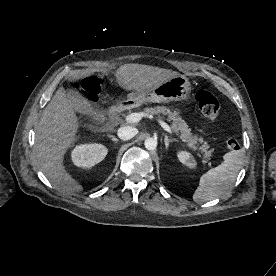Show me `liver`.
Instances as JSON below:
<instances>
[{"instance_id":"liver-1","label":"liver","mask_w":276,"mask_h":276,"mask_svg":"<svg viewBox=\"0 0 276 276\" xmlns=\"http://www.w3.org/2000/svg\"><path fill=\"white\" fill-rule=\"evenodd\" d=\"M89 75L91 73L75 75L70 81ZM177 75L179 73L175 71L142 64H125L115 73L122 89L136 92L148 90ZM80 123L67 91L60 87L45 107L36 130L34 150L41 171L55 187L68 193L82 190V186L67 172L63 162L66 151L78 139Z\"/></svg>"}]
</instances>
